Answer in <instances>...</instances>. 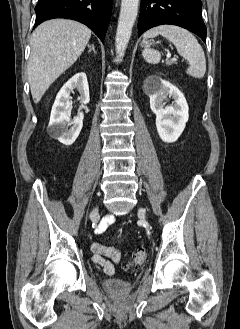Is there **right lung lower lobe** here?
<instances>
[{
	"mask_svg": "<svg viewBox=\"0 0 240 329\" xmlns=\"http://www.w3.org/2000/svg\"><path fill=\"white\" fill-rule=\"evenodd\" d=\"M112 0H39L34 28L45 20L66 18L88 26L104 42Z\"/></svg>",
	"mask_w": 240,
	"mask_h": 329,
	"instance_id": "obj_1",
	"label": "right lung lower lobe"
}]
</instances>
